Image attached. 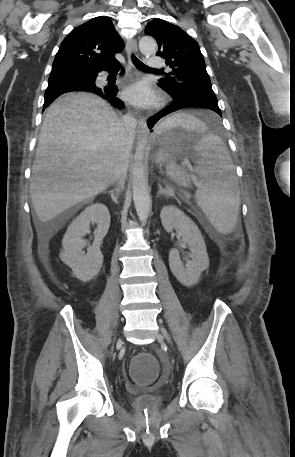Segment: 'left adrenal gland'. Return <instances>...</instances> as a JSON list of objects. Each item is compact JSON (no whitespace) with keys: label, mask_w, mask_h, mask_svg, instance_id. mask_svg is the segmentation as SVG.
Masks as SVG:
<instances>
[{"label":"left adrenal gland","mask_w":295,"mask_h":457,"mask_svg":"<svg viewBox=\"0 0 295 457\" xmlns=\"http://www.w3.org/2000/svg\"><path fill=\"white\" fill-rule=\"evenodd\" d=\"M159 186V191L157 192V196H166V197H169L171 196V192L168 191V190H165L162 188L161 184H158Z\"/></svg>","instance_id":"a2214340"}]
</instances>
